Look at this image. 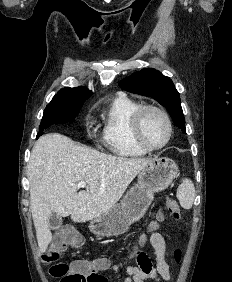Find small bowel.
I'll list each match as a JSON object with an SVG mask.
<instances>
[{
  "mask_svg": "<svg viewBox=\"0 0 232 282\" xmlns=\"http://www.w3.org/2000/svg\"><path fill=\"white\" fill-rule=\"evenodd\" d=\"M150 243L155 254V265L145 253L141 252L137 258V265H126L122 262L109 264L105 262L101 265V268L105 270L111 267L113 271L123 273L124 277L121 282L168 281L170 279V269L165 260V240L159 232L153 231L150 235ZM90 282H109V280L100 275Z\"/></svg>",
  "mask_w": 232,
  "mask_h": 282,
  "instance_id": "obj_1",
  "label": "small bowel"
}]
</instances>
